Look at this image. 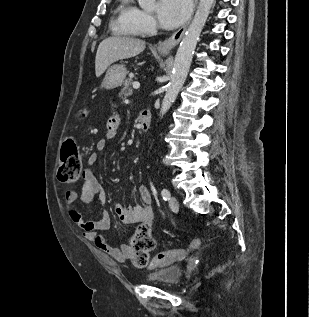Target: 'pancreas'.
<instances>
[{
	"mask_svg": "<svg viewBox=\"0 0 309 317\" xmlns=\"http://www.w3.org/2000/svg\"><path fill=\"white\" fill-rule=\"evenodd\" d=\"M133 84V80L131 78H128L124 81L123 87L119 92V97L126 98L133 93V89L131 88V85Z\"/></svg>",
	"mask_w": 309,
	"mask_h": 317,
	"instance_id": "cf45deb5",
	"label": "pancreas"
}]
</instances>
